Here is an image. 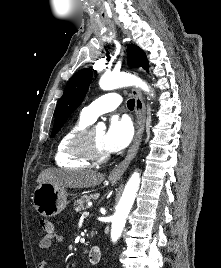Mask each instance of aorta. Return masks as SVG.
I'll return each mask as SVG.
<instances>
[{
  "label": "aorta",
  "instance_id": "1",
  "mask_svg": "<svg viewBox=\"0 0 221 268\" xmlns=\"http://www.w3.org/2000/svg\"><path fill=\"white\" fill-rule=\"evenodd\" d=\"M137 86L149 92V86L140 78L130 73H109L100 78L99 86L102 90L108 91L119 87ZM140 185V174L134 172L128 180L122 197L116 207V212L112 218L111 239L116 242L122 234L127 216L132 208Z\"/></svg>",
  "mask_w": 221,
  "mask_h": 268
}]
</instances>
